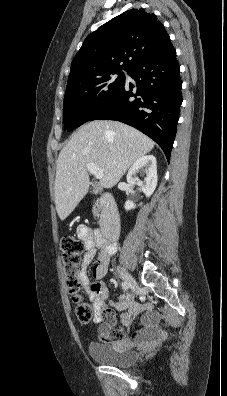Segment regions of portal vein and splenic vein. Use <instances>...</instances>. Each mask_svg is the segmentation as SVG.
<instances>
[{"label":"portal vein and splenic vein","instance_id":"obj_1","mask_svg":"<svg viewBox=\"0 0 227 396\" xmlns=\"http://www.w3.org/2000/svg\"><path fill=\"white\" fill-rule=\"evenodd\" d=\"M87 170L95 176L96 179H101L104 175L103 170L93 163L87 164Z\"/></svg>","mask_w":227,"mask_h":396}]
</instances>
